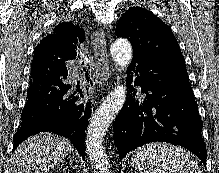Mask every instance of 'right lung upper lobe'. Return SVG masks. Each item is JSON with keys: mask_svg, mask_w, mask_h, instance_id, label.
Instances as JSON below:
<instances>
[{"mask_svg": "<svg viewBox=\"0 0 219 173\" xmlns=\"http://www.w3.org/2000/svg\"><path fill=\"white\" fill-rule=\"evenodd\" d=\"M84 31L71 22L60 23L34 50L31 67L40 63H64L76 57V44L84 40Z\"/></svg>", "mask_w": 219, "mask_h": 173, "instance_id": "obj_1", "label": "right lung upper lobe"}]
</instances>
